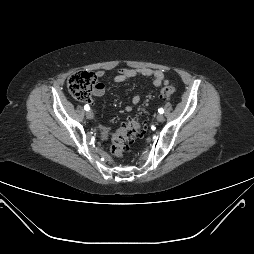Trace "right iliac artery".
I'll return each mask as SVG.
<instances>
[{
  "label": "right iliac artery",
  "mask_w": 254,
  "mask_h": 254,
  "mask_svg": "<svg viewBox=\"0 0 254 254\" xmlns=\"http://www.w3.org/2000/svg\"><path fill=\"white\" fill-rule=\"evenodd\" d=\"M84 109H85L86 111H89V110H90L89 105H85V106H84Z\"/></svg>",
  "instance_id": "82829eb1"
}]
</instances>
